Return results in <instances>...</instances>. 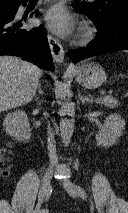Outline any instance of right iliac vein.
<instances>
[{"instance_id": "1", "label": "right iliac vein", "mask_w": 128, "mask_h": 213, "mask_svg": "<svg viewBox=\"0 0 128 213\" xmlns=\"http://www.w3.org/2000/svg\"><path fill=\"white\" fill-rule=\"evenodd\" d=\"M52 175H53V169L49 168L46 171V173H45V175L42 179V184H41V188H40L41 200L39 201L38 205L34 209L33 213H40L41 203H42L43 199L48 197V195H49V191H50V188H51Z\"/></svg>"}]
</instances>
